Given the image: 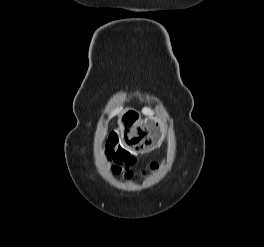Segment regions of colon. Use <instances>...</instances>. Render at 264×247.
<instances>
[{"mask_svg":"<svg viewBox=\"0 0 264 247\" xmlns=\"http://www.w3.org/2000/svg\"><path fill=\"white\" fill-rule=\"evenodd\" d=\"M108 156L116 162V172L123 173L126 178L131 176L128 166L133 163L134 156L118 144V140L115 135H111L109 137ZM154 167H156V162L150 165V168ZM145 172L146 170L144 169L142 173L144 174Z\"/></svg>","mask_w":264,"mask_h":247,"instance_id":"1","label":"colon"}]
</instances>
